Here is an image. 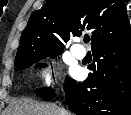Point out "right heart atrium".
<instances>
[{
	"mask_svg": "<svg viewBox=\"0 0 131 115\" xmlns=\"http://www.w3.org/2000/svg\"><path fill=\"white\" fill-rule=\"evenodd\" d=\"M42 78L46 85L51 86L53 84V70L50 66L42 71Z\"/></svg>",
	"mask_w": 131,
	"mask_h": 115,
	"instance_id": "d8ad5b80",
	"label": "right heart atrium"
}]
</instances>
